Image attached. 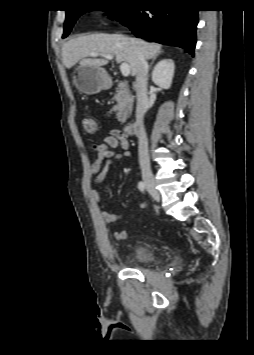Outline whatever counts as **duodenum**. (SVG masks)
Returning a JSON list of instances; mask_svg holds the SVG:
<instances>
[{
    "label": "duodenum",
    "mask_w": 254,
    "mask_h": 355,
    "mask_svg": "<svg viewBox=\"0 0 254 355\" xmlns=\"http://www.w3.org/2000/svg\"><path fill=\"white\" fill-rule=\"evenodd\" d=\"M135 131V126L132 122H128L124 125V132L127 135H132Z\"/></svg>",
    "instance_id": "obj_1"
}]
</instances>
